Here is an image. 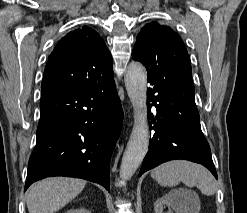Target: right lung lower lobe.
<instances>
[{
	"mask_svg": "<svg viewBox=\"0 0 247 213\" xmlns=\"http://www.w3.org/2000/svg\"><path fill=\"white\" fill-rule=\"evenodd\" d=\"M122 120L114 76L42 98L24 191L51 176L86 179L110 191V159Z\"/></svg>",
	"mask_w": 247,
	"mask_h": 213,
	"instance_id": "1",
	"label": "right lung lower lobe"
}]
</instances>
